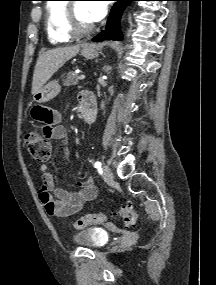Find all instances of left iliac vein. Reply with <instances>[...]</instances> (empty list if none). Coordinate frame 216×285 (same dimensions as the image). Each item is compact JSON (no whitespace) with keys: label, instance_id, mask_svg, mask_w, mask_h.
I'll return each instance as SVG.
<instances>
[{"label":"left iliac vein","instance_id":"4c4485c4","mask_svg":"<svg viewBox=\"0 0 216 285\" xmlns=\"http://www.w3.org/2000/svg\"><path fill=\"white\" fill-rule=\"evenodd\" d=\"M102 174H103V179L106 183L111 184L114 181L113 173L108 166L103 167Z\"/></svg>","mask_w":216,"mask_h":285}]
</instances>
